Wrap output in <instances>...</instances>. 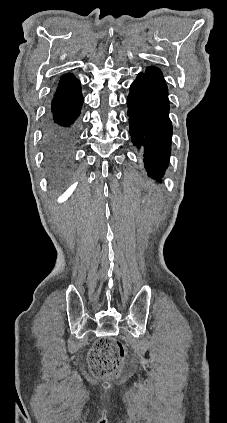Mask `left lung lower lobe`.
Listing matches in <instances>:
<instances>
[{
	"instance_id": "left-lung-lower-lobe-1",
	"label": "left lung lower lobe",
	"mask_w": 227,
	"mask_h": 423,
	"mask_svg": "<svg viewBox=\"0 0 227 423\" xmlns=\"http://www.w3.org/2000/svg\"><path fill=\"white\" fill-rule=\"evenodd\" d=\"M131 140L141 149L148 176L160 182L168 166L172 125L162 75L153 70L139 74L127 99Z\"/></svg>"
}]
</instances>
